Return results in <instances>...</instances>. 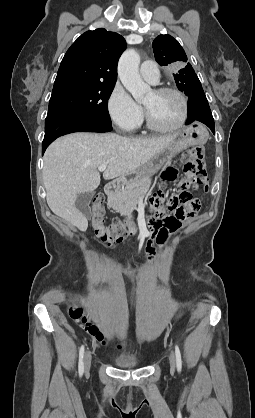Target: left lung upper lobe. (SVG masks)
Instances as JSON below:
<instances>
[{
	"label": "left lung upper lobe",
	"mask_w": 255,
	"mask_h": 418,
	"mask_svg": "<svg viewBox=\"0 0 255 418\" xmlns=\"http://www.w3.org/2000/svg\"><path fill=\"white\" fill-rule=\"evenodd\" d=\"M152 45L155 59L159 65L175 67L173 76L179 90L185 92L188 97L204 94L202 85L191 64H186L185 51L176 39L170 35H159L154 39Z\"/></svg>",
	"instance_id": "obj_1"
}]
</instances>
